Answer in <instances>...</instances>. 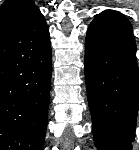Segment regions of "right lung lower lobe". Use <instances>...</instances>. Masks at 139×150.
<instances>
[{
	"instance_id": "98d812e1",
	"label": "right lung lower lobe",
	"mask_w": 139,
	"mask_h": 150,
	"mask_svg": "<svg viewBox=\"0 0 139 150\" xmlns=\"http://www.w3.org/2000/svg\"><path fill=\"white\" fill-rule=\"evenodd\" d=\"M52 57L38 10L0 31V150H42Z\"/></svg>"
}]
</instances>
